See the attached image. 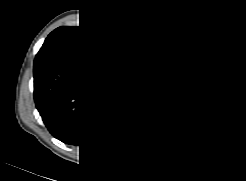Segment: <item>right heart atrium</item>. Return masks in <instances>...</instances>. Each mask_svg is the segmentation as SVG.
<instances>
[{"label":"right heart atrium","instance_id":"right-heart-atrium-1","mask_svg":"<svg viewBox=\"0 0 246 181\" xmlns=\"http://www.w3.org/2000/svg\"><path fill=\"white\" fill-rule=\"evenodd\" d=\"M108 60L115 65V68L120 71L125 67V61L118 55L111 53L108 56Z\"/></svg>","mask_w":246,"mask_h":181}]
</instances>
